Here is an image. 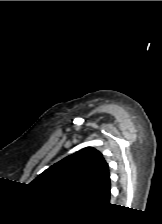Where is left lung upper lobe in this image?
Listing matches in <instances>:
<instances>
[{"label":"left lung upper lobe","mask_w":162,"mask_h":224,"mask_svg":"<svg viewBox=\"0 0 162 224\" xmlns=\"http://www.w3.org/2000/svg\"><path fill=\"white\" fill-rule=\"evenodd\" d=\"M109 178L102 154L87 147L50 166L31 184L60 197L87 199Z\"/></svg>","instance_id":"obj_1"}]
</instances>
